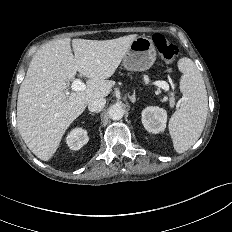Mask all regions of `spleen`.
Instances as JSON below:
<instances>
[{
	"label": "spleen",
	"mask_w": 232,
	"mask_h": 232,
	"mask_svg": "<svg viewBox=\"0 0 232 232\" xmlns=\"http://www.w3.org/2000/svg\"><path fill=\"white\" fill-rule=\"evenodd\" d=\"M178 69L183 74L180 81L183 97L168 127L175 151L183 153L201 136L207 118L208 98L203 77L191 59H179Z\"/></svg>",
	"instance_id": "1"
}]
</instances>
